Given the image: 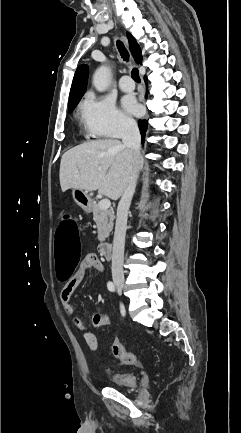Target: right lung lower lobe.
<instances>
[{"label":"right lung lower lobe","mask_w":241,"mask_h":433,"mask_svg":"<svg viewBox=\"0 0 241 433\" xmlns=\"http://www.w3.org/2000/svg\"><path fill=\"white\" fill-rule=\"evenodd\" d=\"M145 82L147 83V78L145 77ZM147 97V94H146ZM140 133L142 135V143H144V137L147 129V120H139L138 122Z\"/></svg>","instance_id":"right-lung-lower-lobe-1"}]
</instances>
